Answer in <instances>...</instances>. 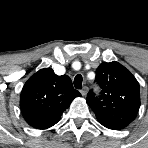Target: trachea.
Listing matches in <instances>:
<instances>
[{
  "label": "trachea",
  "instance_id": "obj_1",
  "mask_svg": "<svg viewBox=\"0 0 148 148\" xmlns=\"http://www.w3.org/2000/svg\"><path fill=\"white\" fill-rule=\"evenodd\" d=\"M82 75L81 74H77L74 78V86L76 89H82Z\"/></svg>",
  "mask_w": 148,
  "mask_h": 148
}]
</instances>
